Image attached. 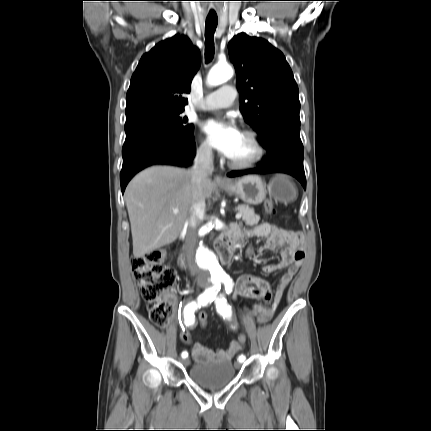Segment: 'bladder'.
Wrapping results in <instances>:
<instances>
[{"label":"bladder","mask_w":431,"mask_h":431,"mask_svg":"<svg viewBox=\"0 0 431 431\" xmlns=\"http://www.w3.org/2000/svg\"><path fill=\"white\" fill-rule=\"evenodd\" d=\"M190 379L206 389H221L236 377V369L231 361H216L196 364L189 370Z\"/></svg>","instance_id":"1"}]
</instances>
